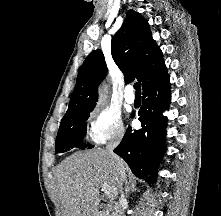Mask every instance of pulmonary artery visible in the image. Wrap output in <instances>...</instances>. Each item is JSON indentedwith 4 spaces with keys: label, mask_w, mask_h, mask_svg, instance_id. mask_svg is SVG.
Segmentation results:
<instances>
[{
    "label": "pulmonary artery",
    "mask_w": 221,
    "mask_h": 216,
    "mask_svg": "<svg viewBox=\"0 0 221 216\" xmlns=\"http://www.w3.org/2000/svg\"><path fill=\"white\" fill-rule=\"evenodd\" d=\"M125 100L127 103L132 104L135 102V95L132 86H128L125 91Z\"/></svg>",
    "instance_id": "pulmonary-artery-1"
}]
</instances>
